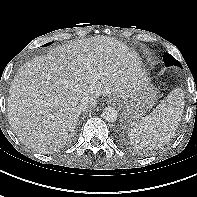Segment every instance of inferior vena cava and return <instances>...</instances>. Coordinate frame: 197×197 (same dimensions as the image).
<instances>
[{
    "mask_svg": "<svg viewBox=\"0 0 197 197\" xmlns=\"http://www.w3.org/2000/svg\"><path fill=\"white\" fill-rule=\"evenodd\" d=\"M96 105V99L93 97L87 96L81 99L79 104L80 111L84 112Z\"/></svg>",
    "mask_w": 197,
    "mask_h": 197,
    "instance_id": "inferior-vena-cava-1",
    "label": "inferior vena cava"
}]
</instances>
